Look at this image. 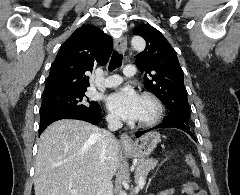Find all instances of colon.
Listing matches in <instances>:
<instances>
[{
	"instance_id": "1",
	"label": "colon",
	"mask_w": 240,
	"mask_h": 195,
	"mask_svg": "<svg viewBox=\"0 0 240 195\" xmlns=\"http://www.w3.org/2000/svg\"><path fill=\"white\" fill-rule=\"evenodd\" d=\"M164 158H165V155H164ZM191 154H186V165L187 166H190V169H192L193 171V176L194 177H197L198 176V164L195 163V162H191ZM198 195H204L205 193L202 192V193H197Z\"/></svg>"
}]
</instances>
